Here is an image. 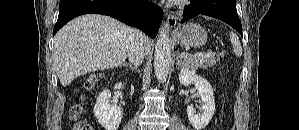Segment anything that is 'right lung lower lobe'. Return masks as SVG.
<instances>
[{"mask_svg":"<svg viewBox=\"0 0 299 130\" xmlns=\"http://www.w3.org/2000/svg\"><path fill=\"white\" fill-rule=\"evenodd\" d=\"M88 13L111 16L152 38L163 19L162 9L148 0H61L53 35L71 19Z\"/></svg>","mask_w":299,"mask_h":130,"instance_id":"1","label":"right lung lower lobe"}]
</instances>
